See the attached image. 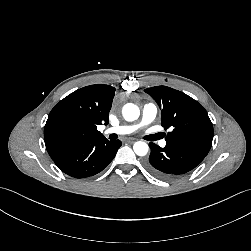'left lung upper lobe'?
I'll list each match as a JSON object with an SVG mask.
<instances>
[{"label": "left lung upper lobe", "instance_id": "1", "mask_svg": "<svg viewBox=\"0 0 251 251\" xmlns=\"http://www.w3.org/2000/svg\"><path fill=\"white\" fill-rule=\"evenodd\" d=\"M161 109V124L171 128L166 142L207 155L213 140V126L206 110L193 98L167 86L144 90Z\"/></svg>", "mask_w": 251, "mask_h": 251}]
</instances>
